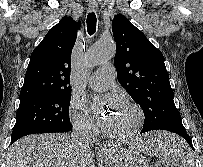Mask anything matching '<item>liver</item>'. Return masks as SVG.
Masks as SVG:
<instances>
[{
    "mask_svg": "<svg viewBox=\"0 0 203 167\" xmlns=\"http://www.w3.org/2000/svg\"><path fill=\"white\" fill-rule=\"evenodd\" d=\"M119 149L122 148L116 145L105 149L110 164ZM93 156L89 148L76 146L72 136L35 134L21 138L9 148L6 167H95Z\"/></svg>",
    "mask_w": 203,
    "mask_h": 167,
    "instance_id": "1",
    "label": "liver"
}]
</instances>
